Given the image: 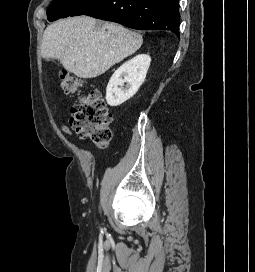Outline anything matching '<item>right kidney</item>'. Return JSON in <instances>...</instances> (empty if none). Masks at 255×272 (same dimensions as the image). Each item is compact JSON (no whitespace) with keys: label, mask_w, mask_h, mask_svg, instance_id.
<instances>
[{"label":"right kidney","mask_w":255,"mask_h":272,"mask_svg":"<svg viewBox=\"0 0 255 272\" xmlns=\"http://www.w3.org/2000/svg\"><path fill=\"white\" fill-rule=\"evenodd\" d=\"M150 63L149 55L140 54L120 66L107 85L106 101L108 105L119 106L133 97L145 81Z\"/></svg>","instance_id":"obj_1"}]
</instances>
